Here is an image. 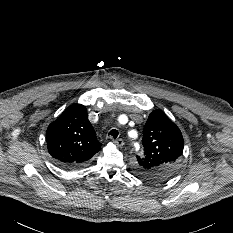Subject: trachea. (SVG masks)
<instances>
[{"label":"trachea","mask_w":233,"mask_h":233,"mask_svg":"<svg viewBox=\"0 0 233 233\" xmlns=\"http://www.w3.org/2000/svg\"><path fill=\"white\" fill-rule=\"evenodd\" d=\"M119 132L116 130V129H112L110 132H109V135H111L114 139L117 138Z\"/></svg>","instance_id":"3493384b"}]
</instances>
